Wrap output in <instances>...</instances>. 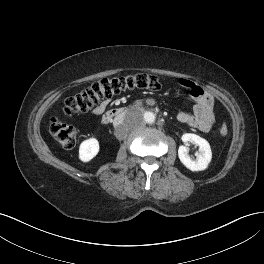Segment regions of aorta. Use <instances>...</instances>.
Segmentation results:
<instances>
[{
	"mask_svg": "<svg viewBox=\"0 0 264 264\" xmlns=\"http://www.w3.org/2000/svg\"><path fill=\"white\" fill-rule=\"evenodd\" d=\"M143 121L148 124H152L155 121V114L153 112L147 111L143 114Z\"/></svg>",
	"mask_w": 264,
	"mask_h": 264,
	"instance_id": "obj_1",
	"label": "aorta"
}]
</instances>
